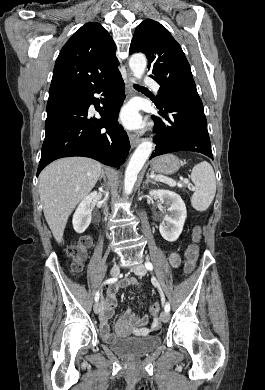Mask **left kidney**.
<instances>
[{
  "label": "left kidney",
  "mask_w": 265,
  "mask_h": 390,
  "mask_svg": "<svg viewBox=\"0 0 265 390\" xmlns=\"http://www.w3.org/2000/svg\"><path fill=\"white\" fill-rule=\"evenodd\" d=\"M149 194L159 199L160 211L168 212L164 216L165 222H162L159 227L161 236L169 242L176 241L182 233L187 217L186 206L183 200L178 194L170 190H150Z\"/></svg>",
  "instance_id": "obj_1"
}]
</instances>
